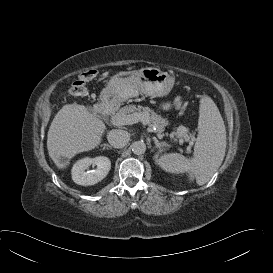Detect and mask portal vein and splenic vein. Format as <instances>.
I'll return each instance as SVG.
<instances>
[{"label":"portal vein and splenic vein","instance_id":"18ae733b","mask_svg":"<svg viewBox=\"0 0 273 273\" xmlns=\"http://www.w3.org/2000/svg\"><path fill=\"white\" fill-rule=\"evenodd\" d=\"M114 125L121 126V125H132L138 122H142L143 124H150L149 120L147 119V116L142 113H134L127 115L125 117H120L112 120ZM155 129L152 128V126H149V131H153Z\"/></svg>","mask_w":273,"mask_h":273}]
</instances>
